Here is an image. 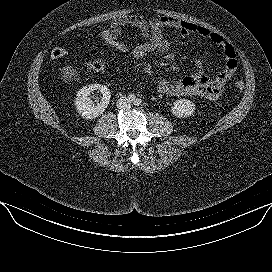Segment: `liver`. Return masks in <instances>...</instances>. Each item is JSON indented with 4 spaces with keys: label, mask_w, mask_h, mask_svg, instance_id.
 <instances>
[{
    "label": "liver",
    "mask_w": 272,
    "mask_h": 272,
    "mask_svg": "<svg viewBox=\"0 0 272 272\" xmlns=\"http://www.w3.org/2000/svg\"><path fill=\"white\" fill-rule=\"evenodd\" d=\"M64 75L66 78H71L72 76H77L74 70H71L69 67L64 68Z\"/></svg>",
    "instance_id": "liver-1"
}]
</instances>
